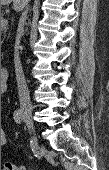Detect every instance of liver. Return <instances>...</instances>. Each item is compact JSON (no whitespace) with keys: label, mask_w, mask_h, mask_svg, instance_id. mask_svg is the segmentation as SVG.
Returning <instances> with one entry per match:
<instances>
[{"label":"liver","mask_w":109,"mask_h":170,"mask_svg":"<svg viewBox=\"0 0 109 170\" xmlns=\"http://www.w3.org/2000/svg\"><path fill=\"white\" fill-rule=\"evenodd\" d=\"M10 3H13V9L15 11H21L28 3V0H1L2 5L10 4Z\"/></svg>","instance_id":"6515ba94"}]
</instances>
